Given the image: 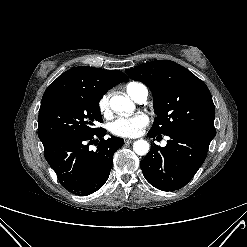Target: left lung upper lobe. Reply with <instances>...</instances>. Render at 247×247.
<instances>
[{
	"instance_id": "1",
	"label": "left lung upper lobe",
	"mask_w": 247,
	"mask_h": 247,
	"mask_svg": "<svg viewBox=\"0 0 247 247\" xmlns=\"http://www.w3.org/2000/svg\"><path fill=\"white\" fill-rule=\"evenodd\" d=\"M127 75L152 91L157 117L150 132L167 135L176 130L215 136V107L206 84L170 60H158L126 69Z\"/></svg>"
}]
</instances>
